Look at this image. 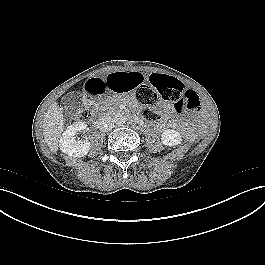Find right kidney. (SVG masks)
<instances>
[{
  "mask_svg": "<svg viewBox=\"0 0 265 265\" xmlns=\"http://www.w3.org/2000/svg\"><path fill=\"white\" fill-rule=\"evenodd\" d=\"M86 129V124L83 122H76L63 132L59 146L63 153L73 157H83L87 155L91 148V144L87 140H76V133Z\"/></svg>",
  "mask_w": 265,
  "mask_h": 265,
  "instance_id": "1",
  "label": "right kidney"
}]
</instances>
